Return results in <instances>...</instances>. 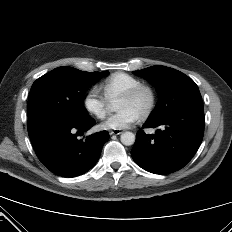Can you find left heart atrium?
<instances>
[{"instance_id":"left-heart-atrium-1","label":"left heart atrium","mask_w":232,"mask_h":232,"mask_svg":"<svg viewBox=\"0 0 232 232\" xmlns=\"http://www.w3.org/2000/svg\"><path fill=\"white\" fill-rule=\"evenodd\" d=\"M140 118V115L131 109H122L111 115L101 127L105 130H121L132 126Z\"/></svg>"}]
</instances>
